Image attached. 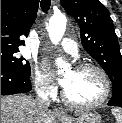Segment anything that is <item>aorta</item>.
<instances>
[{"label":"aorta","mask_w":122,"mask_h":123,"mask_svg":"<svg viewBox=\"0 0 122 123\" xmlns=\"http://www.w3.org/2000/svg\"><path fill=\"white\" fill-rule=\"evenodd\" d=\"M67 19L65 15H53L49 20L48 33L51 41L57 44L63 37L66 29ZM56 64L62 69L66 67L65 62L58 58Z\"/></svg>","instance_id":"762f6f07"}]
</instances>
